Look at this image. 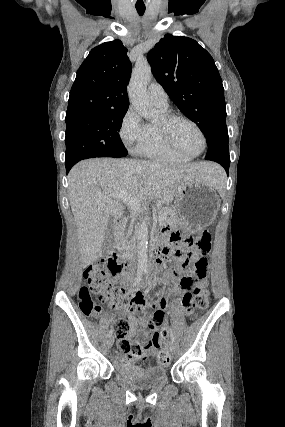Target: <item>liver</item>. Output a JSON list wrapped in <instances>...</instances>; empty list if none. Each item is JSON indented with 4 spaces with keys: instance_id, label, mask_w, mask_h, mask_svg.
Segmentation results:
<instances>
[{
    "instance_id": "liver-1",
    "label": "liver",
    "mask_w": 285,
    "mask_h": 427,
    "mask_svg": "<svg viewBox=\"0 0 285 427\" xmlns=\"http://www.w3.org/2000/svg\"><path fill=\"white\" fill-rule=\"evenodd\" d=\"M221 167L210 162L169 164L132 159L94 158L69 172V201L77 228L82 267L102 255L109 219L123 215L119 200L103 199L125 193L139 202L159 199L169 204L181 185L201 181L216 186Z\"/></svg>"
}]
</instances>
